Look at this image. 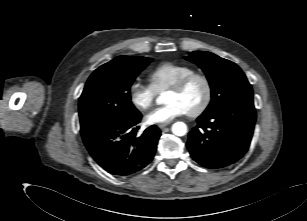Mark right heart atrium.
Masks as SVG:
<instances>
[{
	"instance_id": "obj_1",
	"label": "right heart atrium",
	"mask_w": 307,
	"mask_h": 221,
	"mask_svg": "<svg viewBox=\"0 0 307 221\" xmlns=\"http://www.w3.org/2000/svg\"><path fill=\"white\" fill-rule=\"evenodd\" d=\"M156 92L147 84L135 81L129 88V99L132 105L139 110L149 109L155 99Z\"/></svg>"
}]
</instances>
